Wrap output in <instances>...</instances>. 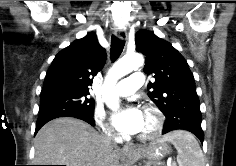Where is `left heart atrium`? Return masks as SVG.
Here are the masks:
<instances>
[{"mask_svg":"<svg viewBox=\"0 0 236 166\" xmlns=\"http://www.w3.org/2000/svg\"><path fill=\"white\" fill-rule=\"evenodd\" d=\"M114 127L125 135H134L141 132L144 126V114L135 106H129L112 116Z\"/></svg>","mask_w":236,"mask_h":166,"instance_id":"1","label":"left heart atrium"}]
</instances>
